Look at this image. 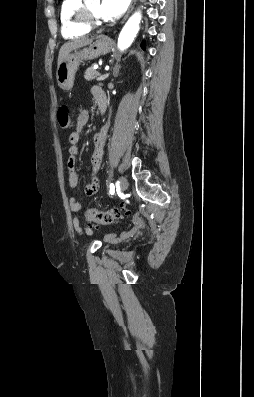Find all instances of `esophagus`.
<instances>
[{"label":"esophagus","mask_w":254,"mask_h":397,"mask_svg":"<svg viewBox=\"0 0 254 397\" xmlns=\"http://www.w3.org/2000/svg\"><path fill=\"white\" fill-rule=\"evenodd\" d=\"M135 3H136V0H132L131 5H130V7H129L127 13H126V15H125V17H124L123 20H122V23H124V22L126 21V19L128 18V16H129L130 13L132 12Z\"/></svg>","instance_id":"esophagus-1"}]
</instances>
